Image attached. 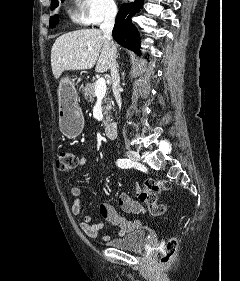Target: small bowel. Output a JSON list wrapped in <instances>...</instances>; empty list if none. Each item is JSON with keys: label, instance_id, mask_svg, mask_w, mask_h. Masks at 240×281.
<instances>
[{"label": "small bowel", "instance_id": "obj_1", "mask_svg": "<svg viewBox=\"0 0 240 281\" xmlns=\"http://www.w3.org/2000/svg\"><path fill=\"white\" fill-rule=\"evenodd\" d=\"M88 164V157L86 155H82L78 159L77 168L83 169ZM136 188L139 186L136 184ZM71 195L73 197V202L71 205V213L78 217L81 214V190L80 188L74 186L71 188ZM118 204L121 209L126 213L132 214H142L145 212L144 207L138 201H135L131 198L128 192H123L120 194L118 198ZM98 210L103 221L108 222L114 226L119 228L118 235L123 237L124 235L134 231L139 228L141 223L139 220H128L125 217L121 216L116 209L106 203L102 202L98 205ZM78 225L83 233L89 238H102L103 240H107V236H100V231L104 227L103 222L92 223L91 216H84L79 219Z\"/></svg>", "mask_w": 240, "mask_h": 281}]
</instances>
